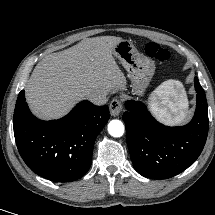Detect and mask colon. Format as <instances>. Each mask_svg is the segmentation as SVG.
<instances>
[{
	"mask_svg": "<svg viewBox=\"0 0 215 215\" xmlns=\"http://www.w3.org/2000/svg\"><path fill=\"white\" fill-rule=\"evenodd\" d=\"M144 51L146 55L159 62H166L170 58V53L168 50L153 42L147 43L144 47Z\"/></svg>",
	"mask_w": 215,
	"mask_h": 215,
	"instance_id": "5ec220e1",
	"label": "colon"
}]
</instances>
